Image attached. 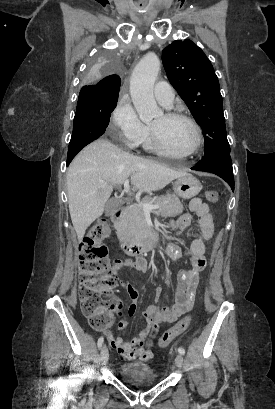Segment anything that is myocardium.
<instances>
[{"mask_svg":"<svg viewBox=\"0 0 275 409\" xmlns=\"http://www.w3.org/2000/svg\"><path fill=\"white\" fill-rule=\"evenodd\" d=\"M164 118L168 122H172L175 120H183L189 123L194 131L195 136L194 143L191 146V148L186 152L183 153L175 152L166 145L162 135L158 131L150 127L151 139L154 149L157 152L169 157H190L194 155L202 143V134L198 123L192 117L180 112H167L164 114Z\"/></svg>","mask_w":275,"mask_h":409,"instance_id":"obj_1","label":"myocardium"}]
</instances>
